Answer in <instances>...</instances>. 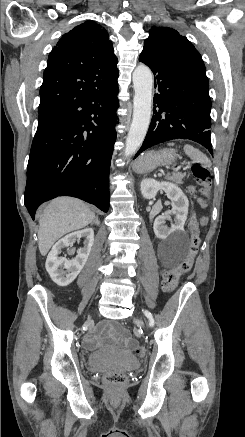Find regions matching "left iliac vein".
<instances>
[{"instance_id": "1", "label": "left iliac vein", "mask_w": 245, "mask_h": 437, "mask_svg": "<svg viewBox=\"0 0 245 437\" xmlns=\"http://www.w3.org/2000/svg\"><path fill=\"white\" fill-rule=\"evenodd\" d=\"M135 322L138 326L143 327V322L141 320L135 319Z\"/></svg>"}]
</instances>
